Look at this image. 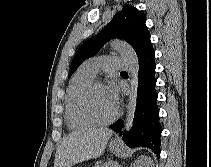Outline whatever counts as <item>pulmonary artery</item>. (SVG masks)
<instances>
[{"label": "pulmonary artery", "mask_w": 211, "mask_h": 167, "mask_svg": "<svg viewBox=\"0 0 211 167\" xmlns=\"http://www.w3.org/2000/svg\"><path fill=\"white\" fill-rule=\"evenodd\" d=\"M82 67L96 75L100 70H123L128 68V61L119 56H99L86 60Z\"/></svg>", "instance_id": "1"}]
</instances>
